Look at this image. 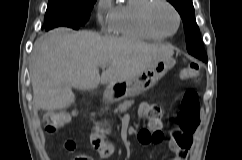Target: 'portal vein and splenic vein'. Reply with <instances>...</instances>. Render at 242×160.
Listing matches in <instances>:
<instances>
[{
    "instance_id": "portal-vein-and-splenic-vein-1",
    "label": "portal vein and splenic vein",
    "mask_w": 242,
    "mask_h": 160,
    "mask_svg": "<svg viewBox=\"0 0 242 160\" xmlns=\"http://www.w3.org/2000/svg\"><path fill=\"white\" fill-rule=\"evenodd\" d=\"M102 69H105L107 66L106 65H101L100 66Z\"/></svg>"
}]
</instances>
